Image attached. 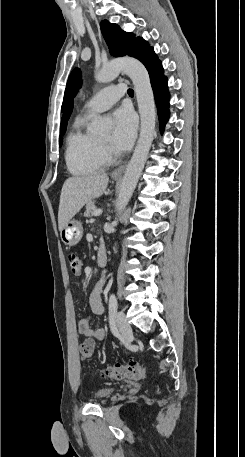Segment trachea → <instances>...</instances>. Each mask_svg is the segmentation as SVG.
Returning <instances> with one entry per match:
<instances>
[{"label": "trachea", "mask_w": 245, "mask_h": 457, "mask_svg": "<svg viewBox=\"0 0 245 457\" xmlns=\"http://www.w3.org/2000/svg\"><path fill=\"white\" fill-rule=\"evenodd\" d=\"M127 92L130 96L134 95V90H132V88H129Z\"/></svg>", "instance_id": "obj_1"}]
</instances>
